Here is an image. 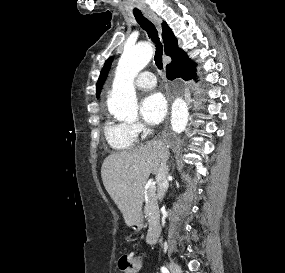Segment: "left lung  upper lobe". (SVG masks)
Instances as JSON below:
<instances>
[{"label":"left lung upper lobe","instance_id":"obj_1","mask_svg":"<svg viewBox=\"0 0 285 273\" xmlns=\"http://www.w3.org/2000/svg\"><path fill=\"white\" fill-rule=\"evenodd\" d=\"M111 63H112V58H109L101 70L100 77H99L98 82H97V90H96L97 97H98V95L101 91V88L105 82V79L107 77V74H108L110 66H111Z\"/></svg>","mask_w":285,"mask_h":273}]
</instances>
